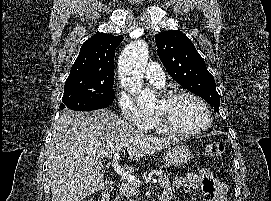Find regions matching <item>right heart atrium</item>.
Here are the masks:
<instances>
[{
    "instance_id": "right-heart-atrium-1",
    "label": "right heart atrium",
    "mask_w": 271,
    "mask_h": 201,
    "mask_svg": "<svg viewBox=\"0 0 271 201\" xmlns=\"http://www.w3.org/2000/svg\"><path fill=\"white\" fill-rule=\"evenodd\" d=\"M118 106L124 120L129 126L139 129H147L153 118L144 114L133 102V100L124 93L118 96Z\"/></svg>"
}]
</instances>
